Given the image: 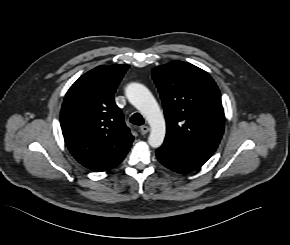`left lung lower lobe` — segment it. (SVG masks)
<instances>
[{"mask_svg":"<svg viewBox=\"0 0 290 245\" xmlns=\"http://www.w3.org/2000/svg\"><path fill=\"white\" fill-rule=\"evenodd\" d=\"M156 156L164 166L178 173L194 171L207 161L184 154L165 145L156 150Z\"/></svg>","mask_w":290,"mask_h":245,"instance_id":"0a47b994","label":"left lung lower lobe"}]
</instances>
